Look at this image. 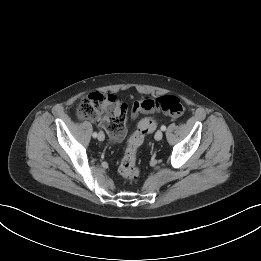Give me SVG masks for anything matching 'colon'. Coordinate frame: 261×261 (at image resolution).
<instances>
[{
  "mask_svg": "<svg viewBox=\"0 0 261 261\" xmlns=\"http://www.w3.org/2000/svg\"><path fill=\"white\" fill-rule=\"evenodd\" d=\"M148 110L162 111L172 117H180L185 112L181 100L172 95L160 96L146 101L143 104ZM79 117L90 120H100L101 127L111 135L113 142H120L127 136L125 122L127 107L115 95H106L98 92L91 93L81 99L78 109ZM155 128L152 119L141 120L134 133L131 135L126 150L120 160L118 172L128 181H136L140 176L137 165V151L144 142L147 134Z\"/></svg>",
  "mask_w": 261,
  "mask_h": 261,
  "instance_id": "obj_1",
  "label": "colon"
}]
</instances>
